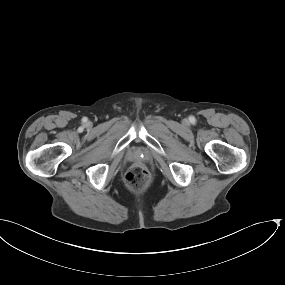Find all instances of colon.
I'll use <instances>...</instances> for the list:
<instances>
[{"label": "colon", "instance_id": "colon-1", "mask_svg": "<svg viewBox=\"0 0 285 285\" xmlns=\"http://www.w3.org/2000/svg\"><path fill=\"white\" fill-rule=\"evenodd\" d=\"M149 181V173L142 165L133 166L125 175V183L133 191L143 190Z\"/></svg>", "mask_w": 285, "mask_h": 285}]
</instances>
